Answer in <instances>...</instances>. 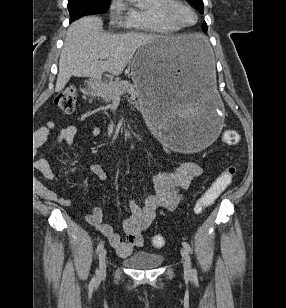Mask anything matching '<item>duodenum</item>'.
<instances>
[{"label": "duodenum", "mask_w": 286, "mask_h": 308, "mask_svg": "<svg viewBox=\"0 0 286 308\" xmlns=\"http://www.w3.org/2000/svg\"><path fill=\"white\" fill-rule=\"evenodd\" d=\"M99 84L97 83L95 86L97 87Z\"/></svg>", "instance_id": "duodenum-1"}]
</instances>
